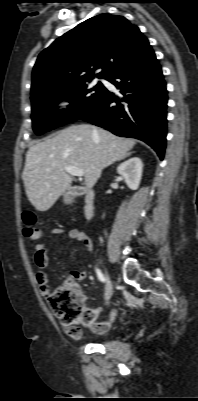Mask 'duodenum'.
<instances>
[{
  "label": "duodenum",
  "instance_id": "obj_1",
  "mask_svg": "<svg viewBox=\"0 0 198 401\" xmlns=\"http://www.w3.org/2000/svg\"><path fill=\"white\" fill-rule=\"evenodd\" d=\"M83 194V213L87 220H91L95 215V192L90 188L77 187L73 190V195Z\"/></svg>",
  "mask_w": 198,
  "mask_h": 401
}]
</instances>
